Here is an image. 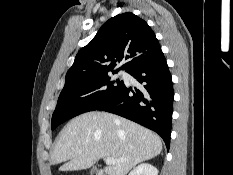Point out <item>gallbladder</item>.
<instances>
[{
    "instance_id": "bac80fb5",
    "label": "gallbladder",
    "mask_w": 233,
    "mask_h": 175,
    "mask_svg": "<svg viewBox=\"0 0 233 175\" xmlns=\"http://www.w3.org/2000/svg\"><path fill=\"white\" fill-rule=\"evenodd\" d=\"M97 171V168L96 167H93L90 171V175H93L95 172Z\"/></svg>"
}]
</instances>
